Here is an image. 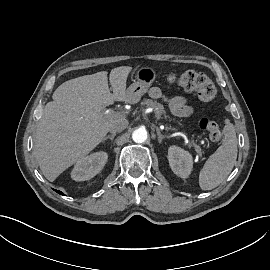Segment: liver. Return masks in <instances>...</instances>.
<instances>
[{
	"label": "liver",
	"instance_id": "obj_1",
	"mask_svg": "<svg viewBox=\"0 0 270 270\" xmlns=\"http://www.w3.org/2000/svg\"><path fill=\"white\" fill-rule=\"evenodd\" d=\"M130 66L84 75L62 83L48 102L35 132L33 155L43 175L54 181L63 171L90 153L123 115H104L114 101H128Z\"/></svg>",
	"mask_w": 270,
	"mask_h": 270
}]
</instances>
